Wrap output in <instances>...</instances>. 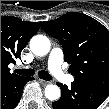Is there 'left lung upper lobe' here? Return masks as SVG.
Instances as JSON below:
<instances>
[{
  "label": "left lung upper lobe",
  "instance_id": "1",
  "mask_svg": "<svg viewBox=\"0 0 109 109\" xmlns=\"http://www.w3.org/2000/svg\"><path fill=\"white\" fill-rule=\"evenodd\" d=\"M41 28L63 46L74 81L109 91V31L94 18L69 12Z\"/></svg>",
  "mask_w": 109,
  "mask_h": 109
}]
</instances>
